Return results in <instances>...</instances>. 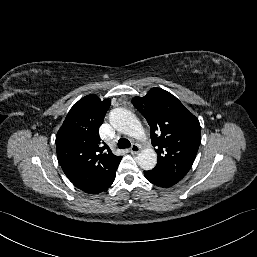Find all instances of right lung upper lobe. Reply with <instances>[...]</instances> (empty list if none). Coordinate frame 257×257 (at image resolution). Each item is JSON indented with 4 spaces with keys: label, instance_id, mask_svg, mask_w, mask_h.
Returning <instances> with one entry per match:
<instances>
[{
    "label": "right lung upper lobe",
    "instance_id": "right-lung-upper-lobe-1",
    "mask_svg": "<svg viewBox=\"0 0 257 257\" xmlns=\"http://www.w3.org/2000/svg\"><path fill=\"white\" fill-rule=\"evenodd\" d=\"M110 100L88 95L70 109L56 136L57 158L64 173L79 189L98 194L115 179L121 156L101 142L99 127Z\"/></svg>",
    "mask_w": 257,
    "mask_h": 257
}]
</instances>
